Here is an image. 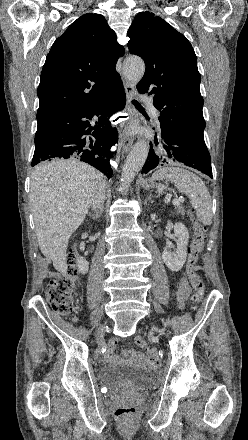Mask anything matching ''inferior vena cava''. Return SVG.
<instances>
[{
	"label": "inferior vena cava",
	"mask_w": 248,
	"mask_h": 440,
	"mask_svg": "<svg viewBox=\"0 0 248 440\" xmlns=\"http://www.w3.org/2000/svg\"><path fill=\"white\" fill-rule=\"evenodd\" d=\"M105 200V185L102 184L99 189L95 192L92 199V209L96 212L101 209Z\"/></svg>",
	"instance_id": "inferior-vena-cava-1"
}]
</instances>
